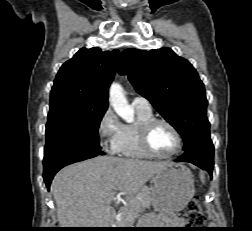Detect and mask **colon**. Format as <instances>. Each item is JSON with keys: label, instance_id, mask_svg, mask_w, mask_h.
<instances>
[{"label": "colon", "instance_id": "1", "mask_svg": "<svg viewBox=\"0 0 252 231\" xmlns=\"http://www.w3.org/2000/svg\"><path fill=\"white\" fill-rule=\"evenodd\" d=\"M186 221H187V224L191 227L201 226L205 222V216L201 210V207L197 198H194L191 202H189L187 206Z\"/></svg>", "mask_w": 252, "mask_h": 231}]
</instances>
